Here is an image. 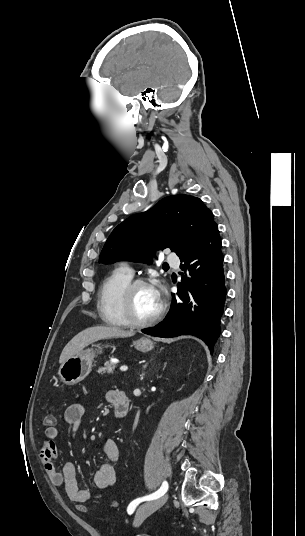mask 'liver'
<instances>
[{
	"instance_id": "obj_1",
	"label": "liver",
	"mask_w": 305,
	"mask_h": 536,
	"mask_svg": "<svg viewBox=\"0 0 305 536\" xmlns=\"http://www.w3.org/2000/svg\"><path fill=\"white\" fill-rule=\"evenodd\" d=\"M134 336V332H127V330H122V328H116V326H95V328H87L83 332H79L77 336H74L67 346H65L60 358L59 364H64L66 360H69L71 356H75L77 352L93 344V342H98V340H109V338H130Z\"/></svg>"
}]
</instances>
